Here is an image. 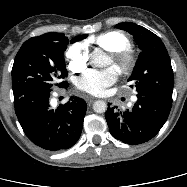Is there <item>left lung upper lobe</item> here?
I'll return each instance as SVG.
<instances>
[{
    "mask_svg": "<svg viewBox=\"0 0 187 187\" xmlns=\"http://www.w3.org/2000/svg\"><path fill=\"white\" fill-rule=\"evenodd\" d=\"M116 27L133 35L141 49L133 73L128 79L135 83L137 96L172 102L173 70L170 57L161 39L135 23L123 22Z\"/></svg>",
    "mask_w": 187,
    "mask_h": 187,
    "instance_id": "1",
    "label": "left lung upper lobe"
}]
</instances>
